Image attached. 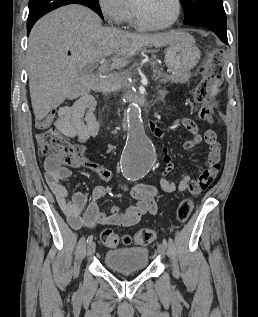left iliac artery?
Wrapping results in <instances>:
<instances>
[{"label": "left iliac artery", "mask_w": 258, "mask_h": 317, "mask_svg": "<svg viewBox=\"0 0 258 317\" xmlns=\"http://www.w3.org/2000/svg\"><path fill=\"white\" fill-rule=\"evenodd\" d=\"M162 242H163V245H164L165 247L168 246V242H167L166 238H163Z\"/></svg>", "instance_id": "44dca946"}]
</instances>
